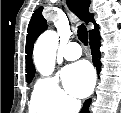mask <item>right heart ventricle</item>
<instances>
[{
    "label": "right heart ventricle",
    "mask_w": 121,
    "mask_h": 113,
    "mask_svg": "<svg viewBox=\"0 0 121 113\" xmlns=\"http://www.w3.org/2000/svg\"><path fill=\"white\" fill-rule=\"evenodd\" d=\"M29 113H49V110L38 100L36 87L29 101Z\"/></svg>",
    "instance_id": "1"
}]
</instances>
